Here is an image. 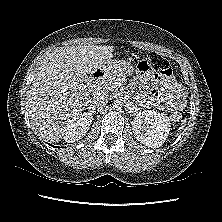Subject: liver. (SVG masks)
Wrapping results in <instances>:
<instances>
[{"mask_svg":"<svg viewBox=\"0 0 222 222\" xmlns=\"http://www.w3.org/2000/svg\"><path fill=\"white\" fill-rule=\"evenodd\" d=\"M113 50L108 45H79L57 49L43 59L27 102L31 124L42 138L59 142L68 121L88 105V74L98 68L107 74L119 70L121 61L111 60Z\"/></svg>","mask_w":222,"mask_h":222,"instance_id":"1","label":"liver"}]
</instances>
